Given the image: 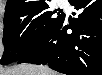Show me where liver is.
<instances>
[{"instance_id":"liver-1","label":"liver","mask_w":102,"mask_h":75,"mask_svg":"<svg viewBox=\"0 0 102 75\" xmlns=\"http://www.w3.org/2000/svg\"><path fill=\"white\" fill-rule=\"evenodd\" d=\"M1 75H58L48 66L21 64L7 70L1 71Z\"/></svg>"}]
</instances>
